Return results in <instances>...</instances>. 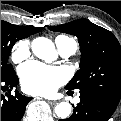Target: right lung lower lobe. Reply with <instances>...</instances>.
I'll list each match as a JSON object with an SVG mask.
<instances>
[{
	"mask_svg": "<svg viewBox=\"0 0 121 121\" xmlns=\"http://www.w3.org/2000/svg\"><path fill=\"white\" fill-rule=\"evenodd\" d=\"M18 82L19 80L14 70L1 76V84L10 88L16 86ZM6 96L5 98L1 95V121H20L26 105L32 98L21 95L17 90L15 91V96L11 94H6Z\"/></svg>",
	"mask_w": 121,
	"mask_h": 121,
	"instance_id": "right-lung-lower-lobe-1",
	"label": "right lung lower lobe"
}]
</instances>
